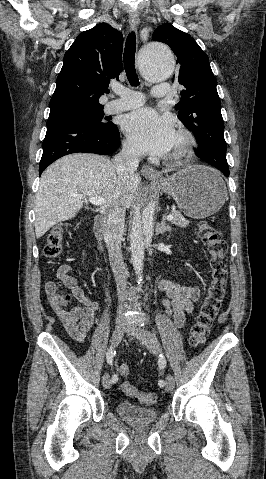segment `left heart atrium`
I'll return each instance as SVG.
<instances>
[{"label":"left heart atrium","instance_id":"left-heart-atrium-1","mask_svg":"<svg viewBox=\"0 0 266 479\" xmlns=\"http://www.w3.org/2000/svg\"><path fill=\"white\" fill-rule=\"evenodd\" d=\"M122 127L139 151L159 156L172 149L176 137L172 121L150 108H140L127 114Z\"/></svg>","mask_w":266,"mask_h":479}]
</instances>
